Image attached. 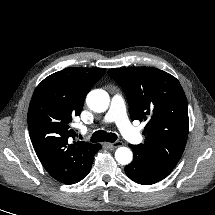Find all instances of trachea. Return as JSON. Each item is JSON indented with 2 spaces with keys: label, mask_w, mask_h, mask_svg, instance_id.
Here are the masks:
<instances>
[{
  "label": "trachea",
  "mask_w": 215,
  "mask_h": 215,
  "mask_svg": "<svg viewBox=\"0 0 215 215\" xmlns=\"http://www.w3.org/2000/svg\"><path fill=\"white\" fill-rule=\"evenodd\" d=\"M117 135L115 133H108L103 130L96 131L92 136H91V141L92 142H115L117 140Z\"/></svg>",
  "instance_id": "3493384b"
}]
</instances>
